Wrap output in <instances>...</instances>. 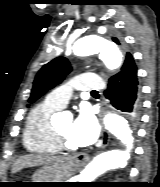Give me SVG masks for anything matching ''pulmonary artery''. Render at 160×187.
<instances>
[{
    "instance_id": "1",
    "label": "pulmonary artery",
    "mask_w": 160,
    "mask_h": 187,
    "mask_svg": "<svg viewBox=\"0 0 160 187\" xmlns=\"http://www.w3.org/2000/svg\"><path fill=\"white\" fill-rule=\"evenodd\" d=\"M102 88L103 81L98 75L78 74L69 82L50 92L46 97V101L58 108H63L68 103L75 90L89 92Z\"/></svg>"
}]
</instances>
